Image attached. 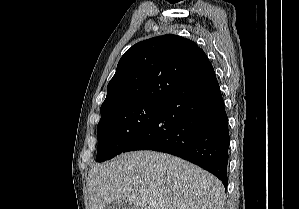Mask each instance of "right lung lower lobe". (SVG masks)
<instances>
[{
	"instance_id": "right-lung-lower-lobe-1",
	"label": "right lung lower lobe",
	"mask_w": 299,
	"mask_h": 209,
	"mask_svg": "<svg viewBox=\"0 0 299 209\" xmlns=\"http://www.w3.org/2000/svg\"><path fill=\"white\" fill-rule=\"evenodd\" d=\"M228 117L214 69L184 82L123 152L154 150L188 160L228 185Z\"/></svg>"
}]
</instances>
